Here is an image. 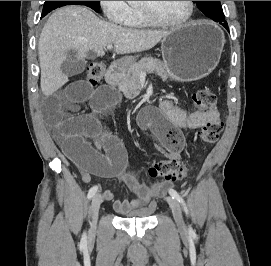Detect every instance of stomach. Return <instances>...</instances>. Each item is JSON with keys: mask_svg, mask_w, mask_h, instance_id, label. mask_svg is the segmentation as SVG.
<instances>
[{"mask_svg": "<svg viewBox=\"0 0 271 266\" xmlns=\"http://www.w3.org/2000/svg\"><path fill=\"white\" fill-rule=\"evenodd\" d=\"M224 44V33L217 26L205 21L190 22L162 38L164 68L176 81L199 80L216 68ZM134 60L127 57L124 64L131 65Z\"/></svg>", "mask_w": 271, "mask_h": 266, "instance_id": "stomach-1", "label": "stomach"}]
</instances>
